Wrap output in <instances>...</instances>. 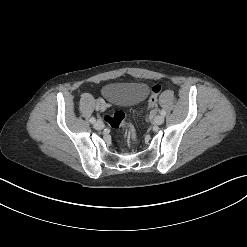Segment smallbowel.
<instances>
[{
	"label": "small bowel",
	"mask_w": 247,
	"mask_h": 247,
	"mask_svg": "<svg viewBox=\"0 0 247 247\" xmlns=\"http://www.w3.org/2000/svg\"><path fill=\"white\" fill-rule=\"evenodd\" d=\"M97 108H98V109H103V108H104V105L101 104V103H98V104H97Z\"/></svg>",
	"instance_id": "1"
}]
</instances>
